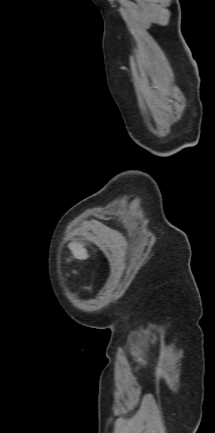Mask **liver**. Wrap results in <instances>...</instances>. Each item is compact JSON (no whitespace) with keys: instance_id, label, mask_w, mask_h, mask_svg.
Listing matches in <instances>:
<instances>
[{"instance_id":"liver-1","label":"liver","mask_w":215,"mask_h":433,"mask_svg":"<svg viewBox=\"0 0 215 433\" xmlns=\"http://www.w3.org/2000/svg\"><path fill=\"white\" fill-rule=\"evenodd\" d=\"M69 248L73 256L78 260H86L89 257L87 250L80 243L77 242L70 243Z\"/></svg>"}]
</instances>
